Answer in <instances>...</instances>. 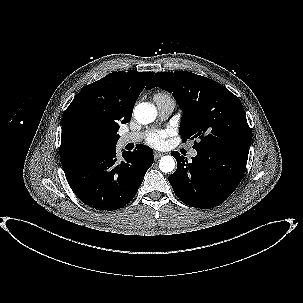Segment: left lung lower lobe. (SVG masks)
Listing matches in <instances>:
<instances>
[{"label":"left lung lower lobe","mask_w":303,"mask_h":303,"mask_svg":"<svg viewBox=\"0 0 303 303\" xmlns=\"http://www.w3.org/2000/svg\"><path fill=\"white\" fill-rule=\"evenodd\" d=\"M196 151L191 163L177 151L171 153L178 166L169 182L185 204L210 209L226 200L239 185L249 149L208 146Z\"/></svg>","instance_id":"obj_1"}]
</instances>
